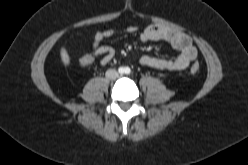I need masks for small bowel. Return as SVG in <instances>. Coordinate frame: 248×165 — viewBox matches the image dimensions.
Instances as JSON below:
<instances>
[{
	"label": "small bowel",
	"instance_id": "1",
	"mask_svg": "<svg viewBox=\"0 0 248 165\" xmlns=\"http://www.w3.org/2000/svg\"><path fill=\"white\" fill-rule=\"evenodd\" d=\"M138 31L136 26H129L122 31L106 29L97 32L92 41V56L100 57V64L107 65L115 57V49L102 42L116 34H134ZM139 38L143 42L164 41L170 44L179 53L175 58H162L143 55L139 58V64L143 67L165 72H176L186 70L197 58L198 52L191 38L182 32L170 27L153 24L141 31Z\"/></svg>",
	"mask_w": 248,
	"mask_h": 165
}]
</instances>
